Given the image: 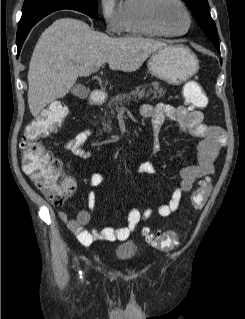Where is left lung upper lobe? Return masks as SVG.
Masks as SVG:
<instances>
[{"label": "left lung upper lobe", "instance_id": "left-lung-upper-lobe-1", "mask_svg": "<svg viewBox=\"0 0 245 319\" xmlns=\"http://www.w3.org/2000/svg\"><path fill=\"white\" fill-rule=\"evenodd\" d=\"M192 13L194 14L198 24L216 47L219 49V41L216 25L210 15L209 4L207 0H183Z\"/></svg>", "mask_w": 245, "mask_h": 319}]
</instances>
